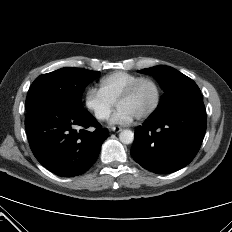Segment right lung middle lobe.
<instances>
[{
	"instance_id": "obj_1",
	"label": "right lung middle lobe",
	"mask_w": 232,
	"mask_h": 232,
	"mask_svg": "<svg viewBox=\"0 0 232 232\" xmlns=\"http://www.w3.org/2000/svg\"><path fill=\"white\" fill-rule=\"evenodd\" d=\"M98 74L99 71L65 67L40 75L29 89L26 110L37 105L82 108V93L86 85L97 78Z\"/></svg>"
}]
</instances>
